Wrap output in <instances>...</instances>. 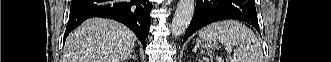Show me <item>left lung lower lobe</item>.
I'll return each mask as SVG.
<instances>
[{"mask_svg": "<svg viewBox=\"0 0 331 62\" xmlns=\"http://www.w3.org/2000/svg\"><path fill=\"white\" fill-rule=\"evenodd\" d=\"M196 6L183 42L204 26L226 19L247 22L260 32L254 0H197Z\"/></svg>", "mask_w": 331, "mask_h": 62, "instance_id": "obj_1", "label": "left lung lower lobe"}]
</instances>
